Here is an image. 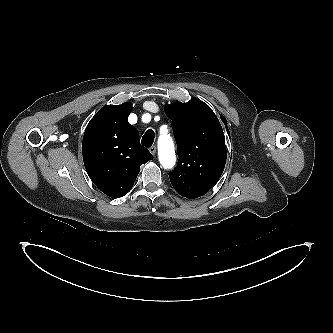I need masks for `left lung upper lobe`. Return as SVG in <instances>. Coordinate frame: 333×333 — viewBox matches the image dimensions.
Wrapping results in <instances>:
<instances>
[{
	"label": "left lung upper lobe",
	"mask_w": 333,
	"mask_h": 333,
	"mask_svg": "<svg viewBox=\"0 0 333 333\" xmlns=\"http://www.w3.org/2000/svg\"><path fill=\"white\" fill-rule=\"evenodd\" d=\"M165 113L172 119L179 156L170 181L181 196L200 197L217 183L225 167L227 152L221 124L199 99L166 105Z\"/></svg>",
	"instance_id": "obj_1"
}]
</instances>
